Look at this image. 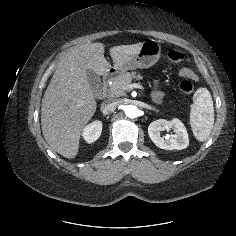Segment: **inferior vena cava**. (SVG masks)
I'll return each instance as SVG.
<instances>
[{
  "mask_svg": "<svg viewBox=\"0 0 236 236\" xmlns=\"http://www.w3.org/2000/svg\"><path fill=\"white\" fill-rule=\"evenodd\" d=\"M119 101L115 98H109L102 102L101 111L103 114H109L114 112V110L118 107Z\"/></svg>",
  "mask_w": 236,
  "mask_h": 236,
  "instance_id": "obj_1",
  "label": "inferior vena cava"
}]
</instances>
